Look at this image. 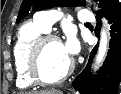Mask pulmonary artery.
I'll return each mask as SVG.
<instances>
[{"label":"pulmonary artery","instance_id":"1","mask_svg":"<svg viewBox=\"0 0 121 94\" xmlns=\"http://www.w3.org/2000/svg\"><path fill=\"white\" fill-rule=\"evenodd\" d=\"M61 12L57 10H49L38 12L35 16L36 22L39 23L44 29L49 31L55 21L60 18ZM78 18L82 22L91 23L94 21V17L87 9L80 10L78 12Z\"/></svg>","mask_w":121,"mask_h":94}]
</instances>
